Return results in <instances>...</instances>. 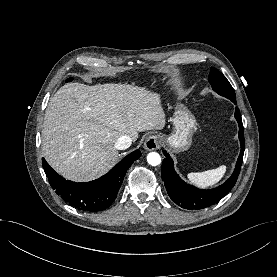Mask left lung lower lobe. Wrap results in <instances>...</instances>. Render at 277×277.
I'll list each match as a JSON object with an SVG mask.
<instances>
[{"label":"left lung lower lobe","mask_w":277,"mask_h":277,"mask_svg":"<svg viewBox=\"0 0 277 277\" xmlns=\"http://www.w3.org/2000/svg\"><path fill=\"white\" fill-rule=\"evenodd\" d=\"M235 118L239 124L241 152L232 176L225 183L215 189L202 190L185 183L176 173L172 158L166 151H163L165 158L162 162V180L164 181L169 197L180 207L190 210L207 208L217 203L235 185L241 169L245 150L243 124L239 109L237 107L235 110Z\"/></svg>","instance_id":"obj_1"}]
</instances>
